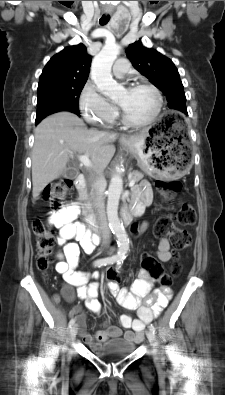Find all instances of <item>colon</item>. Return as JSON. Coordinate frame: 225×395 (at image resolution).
Returning a JSON list of instances; mask_svg holds the SVG:
<instances>
[{"instance_id":"5ec220e1","label":"colon","mask_w":225,"mask_h":395,"mask_svg":"<svg viewBox=\"0 0 225 395\" xmlns=\"http://www.w3.org/2000/svg\"><path fill=\"white\" fill-rule=\"evenodd\" d=\"M73 182L70 178H63L52 182L44 190V199L49 203L52 209L57 212L61 211L65 205L67 195L72 189ZM156 189L160 196L167 202L176 199L182 189L180 181H163L158 180L155 183ZM196 221V211L192 204L181 202L174 213L162 214L154 225V234L158 237H169L176 256L187 249L191 243L189 233L182 227L193 225ZM129 228L132 234L136 233L137 223H130ZM32 229L36 239V266L46 273L53 262V247L55 242L54 232L48 228L41 220H34ZM112 245H119V238H112ZM141 270L152 275L153 281H161L162 288H173V277L178 273L179 265L177 261L170 274H166V269L161 268L160 264L154 259L151 250H140ZM106 286L108 283H115L119 286V273H106Z\"/></svg>"}]
</instances>
